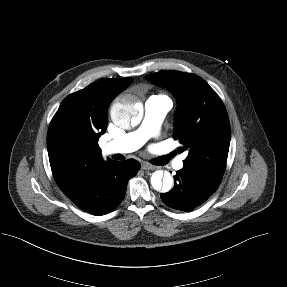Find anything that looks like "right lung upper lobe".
Returning <instances> with one entry per match:
<instances>
[{
  "label": "right lung upper lobe",
  "instance_id": "cb5924a9",
  "mask_svg": "<svg viewBox=\"0 0 287 287\" xmlns=\"http://www.w3.org/2000/svg\"><path fill=\"white\" fill-rule=\"evenodd\" d=\"M132 82L129 77L101 79L60 104L48 129L47 149L53 177L68 198L105 162L98 140L107 128L108 107Z\"/></svg>",
  "mask_w": 287,
  "mask_h": 287
}]
</instances>
